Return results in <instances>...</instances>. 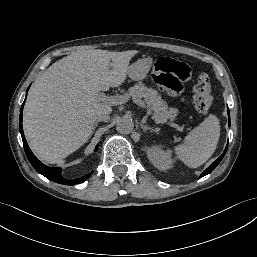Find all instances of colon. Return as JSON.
I'll return each instance as SVG.
<instances>
[{
    "instance_id": "1",
    "label": "colon",
    "mask_w": 257,
    "mask_h": 257,
    "mask_svg": "<svg viewBox=\"0 0 257 257\" xmlns=\"http://www.w3.org/2000/svg\"><path fill=\"white\" fill-rule=\"evenodd\" d=\"M212 104V85L207 74L198 76L194 86L193 105L198 113L204 114L209 111Z\"/></svg>"
}]
</instances>
